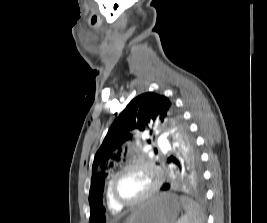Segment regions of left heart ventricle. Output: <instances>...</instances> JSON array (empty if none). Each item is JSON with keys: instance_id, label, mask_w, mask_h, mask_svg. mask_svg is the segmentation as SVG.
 Here are the masks:
<instances>
[{"instance_id": "1", "label": "left heart ventricle", "mask_w": 267, "mask_h": 223, "mask_svg": "<svg viewBox=\"0 0 267 223\" xmlns=\"http://www.w3.org/2000/svg\"><path fill=\"white\" fill-rule=\"evenodd\" d=\"M153 181V176L148 169L132 167L116 179L115 193L123 201H134L150 189Z\"/></svg>"}]
</instances>
